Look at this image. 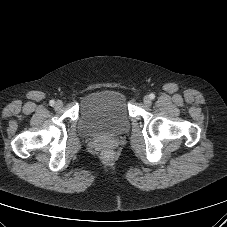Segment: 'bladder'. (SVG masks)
<instances>
[{"label":"bladder","mask_w":227,"mask_h":227,"mask_svg":"<svg viewBox=\"0 0 227 227\" xmlns=\"http://www.w3.org/2000/svg\"><path fill=\"white\" fill-rule=\"evenodd\" d=\"M130 126L125 96L116 89H100L87 94L81 102L78 130L86 137H116Z\"/></svg>","instance_id":"1"}]
</instances>
